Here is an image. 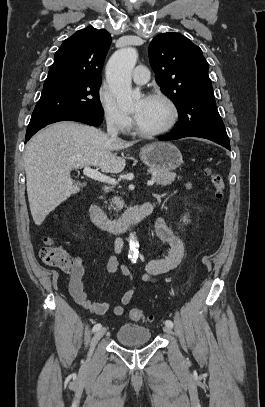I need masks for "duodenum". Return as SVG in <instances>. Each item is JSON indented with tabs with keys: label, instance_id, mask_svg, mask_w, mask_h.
I'll use <instances>...</instances> for the list:
<instances>
[{
	"label": "duodenum",
	"instance_id": "410a0bca",
	"mask_svg": "<svg viewBox=\"0 0 265 407\" xmlns=\"http://www.w3.org/2000/svg\"><path fill=\"white\" fill-rule=\"evenodd\" d=\"M155 208L156 203L148 201L128 210L123 218L112 220L100 207L96 204H92L89 207V215L92 222L103 231L109 233H123L151 215Z\"/></svg>",
	"mask_w": 265,
	"mask_h": 407
}]
</instances>
